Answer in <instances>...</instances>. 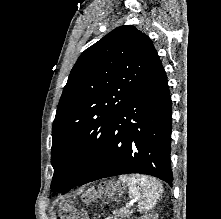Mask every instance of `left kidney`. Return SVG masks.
<instances>
[{
	"instance_id": "1",
	"label": "left kidney",
	"mask_w": 221,
	"mask_h": 219,
	"mask_svg": "<svg viewBox=\"0 0 221 219\" xmlns=\"http://www.w3.org/2000/svg\"><path fill=\"white\" fill-rule=\"evenodd\" d=\"M141 219H150V218H148V217H143V218H141ZM152 219H156V218L153 217Z\"/></svg>"
}]
</instances>
